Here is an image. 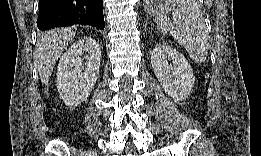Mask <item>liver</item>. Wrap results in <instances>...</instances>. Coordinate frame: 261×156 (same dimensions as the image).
<instances>
[{
	"mask_svg": "<svg viewBox=\"0 0 261 156\" xmlns=\"http://www.w3.org/2000/svg\"><path fill=\"white\" fill-rule=\"evenodd\" d=\"M75 34L76 29L69 27L51 30L41 37L36 48V62L43 84L48 85L56 61Z\"/></svg>",
	"mask_w": 261,
	"mask_h": 156,
	"instance_id": "obj_1",
	"label": "liver"
}]
</instances>
